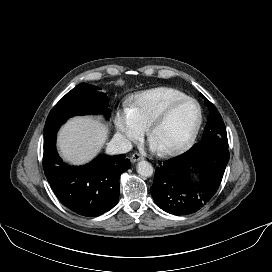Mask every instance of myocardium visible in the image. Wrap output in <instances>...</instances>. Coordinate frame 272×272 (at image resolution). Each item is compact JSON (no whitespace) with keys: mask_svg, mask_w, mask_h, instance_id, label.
<instances>
[{"mask_svg":"<svg viewBox=\"0 0 272 272\" xmlns=\"http://www.w3.org/2000/svg\"><path fill=\"white\" fill-rule=\"evenodd\" d=\"M186 102H192L197 106L198 118L196 124L189 137L182 144L174 148L159 150L163 155L166 156L179 155L188 150L192 146V144L194 143L198 136V133L203 122V110L200 103L195 98L189 96L176 99L169 103L159 114H157V116L151 121L150 125L148 126V137L151 139L154 131L170 116V114L175 110V108Z\"/></svg>","mask_w":272,"mask_h":272,"instance_id":"f54148a6","label":"myocardium"}]
</instances>
